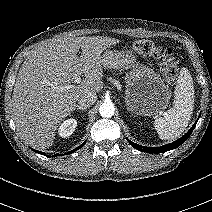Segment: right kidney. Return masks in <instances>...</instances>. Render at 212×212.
<instances>
[{"instance_id":"ca27d5eb","label":"right kidney","mask_w":212,"mask_h":212,"mask_svg":"<svg viewBox=\"0 0 212 212\" xmlns=\"http://www.w3.org/2000/svg\"><path fill=\"white\" fill-rule=\"evenodd\" d=\"M77 126V121L75 119L65 120L59 127V135L61 137H69L74 132Z\"/></svg>"}]
</instances>
